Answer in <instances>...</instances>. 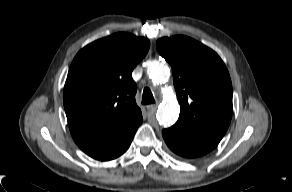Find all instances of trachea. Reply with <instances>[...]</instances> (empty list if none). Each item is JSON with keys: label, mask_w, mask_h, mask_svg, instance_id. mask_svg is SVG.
Segmentation results:
<instances>
[{"label": "trachea", "mask_w": 292, "mask_h": 192, "mask_svg": "<svg viewBox=\"0 0 292 192\" xmlns=\"http://www.w3.org/2000/svg\"><path fill=\"white\" fill-rule=\"evenodd\" d=\"M154 97L149 88H145L142 95V104H152L154 103Z\"/></svg>", "instance_id": "1"}]
</instances>
